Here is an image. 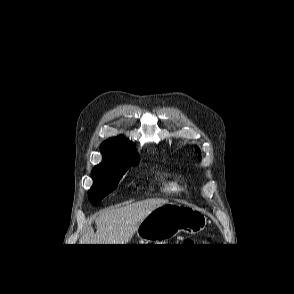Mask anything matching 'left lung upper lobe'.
Returning <instances> with one entry per match:
<instances>
[{
  "label": "left lung upper lobe",
  "instance_id": "left-lung-upper-lobe-1",
  "mask_svg": "<svg viewBox=\"0 0 294 294\" xmlns=\"http://www.w3.org/2000/svg\"><path fill=\"white\" fill-rule=\"evenodd\" d=\"M195 149H196V151H197L198 153H200V150H199V148H198V147H195Z\"/></svg>",
  "mask_w": 294,
  "mask_h": 294
}]
</instances>
